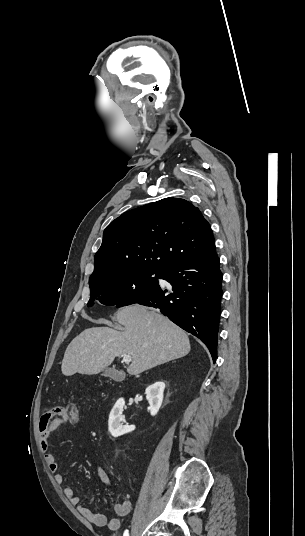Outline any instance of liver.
I'll return each mask as SVG.
<instances>
[{
	"mask_svg": "<svg viewBox=\"0 0 305 536\" xmlns=\"http://www.w3.org/2000/svg\"><path fill=\"white\" fill-rule=\"evenodd\" d=\"M118 324L126 328H88L76 336L65 350L62 374H99L112 364L116 356L127 354L132 362L130 376L183 358L191 350L189 338L181 328L165 316L146 306H127L115 314ZM94 324H110L108 320H92Z\"/></svg>",
	"mask_w": 305,
	"mask_h": 536,
	"instance_id": "liver-1",
	"label": "liver"
}]
</instances>
